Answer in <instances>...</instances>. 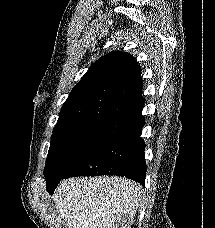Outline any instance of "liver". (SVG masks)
Wrapping results in <instances>:
<instances>
[{
    "instance_id": "1",
    "label": "liver",
    "mask_w": 215,
    "mask_h": 228,
    "mask_svg": "<svg viewBox=\"0 0 215 228\" xmlns=\"http://www.w3.org/2000/svg\"><path fill=\"white\" fill-rule=\"evenodd\" d=\"M141 194L142 186L128 178H69L53 202L70 228H131Z\"/></svg>"
}]
</instances>
